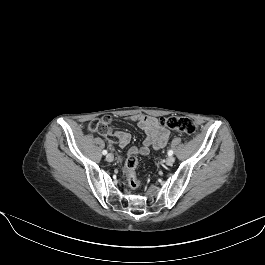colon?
Wrapping results in <instances>:
<instances>
[{"instance_id":"1","label":"colon","mask_w":265,"mask_h":265,"mask_svg":"<svg viewBox=\"0 0 265 265\" xmlns=\"http://www.w3.org/2000/svg\"><path fill=\"white\" fill-rule=\"evenodd\" d=\"M112 117L109 115L103 116L100 119H94L89 124V130L92 132L108 133L110 132V123ZM160 125L182 132L187 135L197 134V127L194 121L187 117L169 116L161 118L159 121ZM139 161L135 156H130L124 166V171L127 177V183L130 188L136 189L140 185V180L136 175Z\"/></svg>"}]
</instances>
